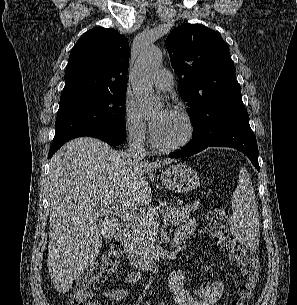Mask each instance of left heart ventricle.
Returning <instances> with one entry per match:
<instances>
[{"label":"left heart ventricle","instance_id":"obj_1","mask_svg":"<svg viewBox=\"0 0 297 305\" xmlns=\"http://www.w3.org/2000/svg\"><path fill=\"white\" fill-rule=\"evenodd\" d=\"M186 133L184 121L176 114L170 112L162 126L153 136L161 145H171L181 140Z\"/></svg>","mask_w":297,"mask_h":305}]
</instances>
